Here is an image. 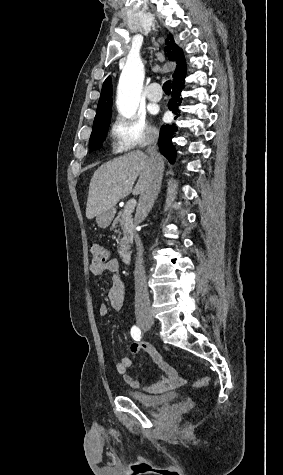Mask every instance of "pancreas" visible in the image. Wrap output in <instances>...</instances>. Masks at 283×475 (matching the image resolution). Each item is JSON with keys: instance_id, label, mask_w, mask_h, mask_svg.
Segmentation results:
<instances>
[{"instance_id": "1", "label": "pancreas", "mask_w": 283, "mask_h": 475, "mask_svg": "<svg viewBox=\"0 0 283 475\" xmlns=\"http://www.w3.org/2000/svg\"><path fill=\"white\" fill-rule=\"evenodd\" d=\"M117 226H119V228L122 230L123 238L121 239L118 247V253H121L122 255V253H128L130 249V243H133L135 226L133 224L131 210L124 208V210L119 212L117 218L113 220L112 228H117Z\"/></svg>"}]
</instances>
